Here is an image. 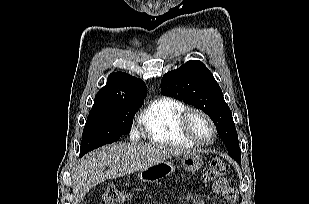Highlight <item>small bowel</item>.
Wrapping results in <instances>:
<instances>
[{
  "label": "small bowel",
  "instance_id": "small-bowel-1",
  "mask_svg": "<svg viewBox=\"0 0 309 204\" xmlns=\"http://www.w3.org/2000/svg\"><path fill=\"white\" fill-rule=\"evenodd\" d=\"M212 190L216 195L222 196L229 201H234L237 198L236 190L228 185V182L225 178H222L215 182ZM191 203L203 204V201L199 196H193Z\"/></svg>",
  "mask_w": 309,
  "mask_h": 204
}]
</instances>
